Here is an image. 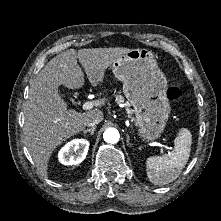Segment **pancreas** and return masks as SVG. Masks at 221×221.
Instances as JSON below:
<instances>
[{
  "label": "pancreas",
  "mask_w": 221,
  "mask_h": 221,
  "mask_svg": "<svg viewBox=\"0 0 221 221\" xmlns=\"http://www.w3.org/2000/svg\"><path fill=\"white\" fill-rule=\"evenodd\" d=\"M116 102L118 103H123L124 102V98L121 96V95H117L116 96ZM125 106H126V112L128 115H131L133 110L129 108V104L128 103H125Z\"/></svg>",
  "instance_id": "cf45deb5"
}]
</instances>
